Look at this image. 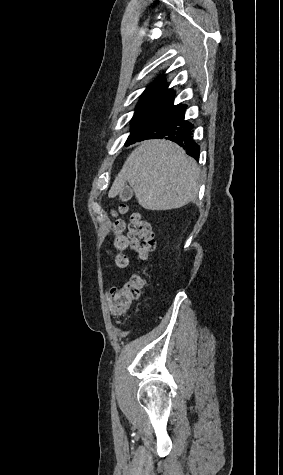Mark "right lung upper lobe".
<instances>
[{
    "instance_id": "obj_1",
    "label": "right lung upper lobe",
    "mask_w": 283,
    "mask_h": 475,
    "mask_svg": "<svg viewBox=\"0 0 283 475\" xmlns=\"http://www.w3.org/2000/svg\"><path fill=\"white\" fill-rule=\"evenodd\" d=\"M162 89H167V84L165 83V81H162V79L159 78L158 81H156L154 84H152L151 86L148 87V89L145 91L144 94L154 92V91H158V90H162Z\"/></svg>"
}]
</instances>
